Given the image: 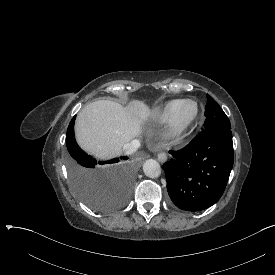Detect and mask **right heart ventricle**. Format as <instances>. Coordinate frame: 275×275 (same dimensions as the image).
I'll list each match as a JSON object with an SVG mask.
<instances>
[{
    "label": "right heart ventricle",
    "instance_id": "1",
    "mask_svg": "<svg viewBox=\"0 0 275 275\" xmlns=\"http://www.w3.org/2000/svg\"><path fill=\"white\" fill-rule=\"evenodd\" d=\"M151 117H155V113L151 115Z\"/></svg>",
    "mask_w": 275,
    "mask_h": 275
}]
</instances>
